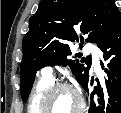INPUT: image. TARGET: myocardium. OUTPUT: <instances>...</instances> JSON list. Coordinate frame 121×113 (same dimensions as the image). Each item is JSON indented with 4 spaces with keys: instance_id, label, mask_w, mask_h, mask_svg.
<instances>
[{
    "instance_id": "myocardium-1",
    "label": "myocardium",
    "mask_w": 121,
    "mask_h": 113,
    "mask_svg": "<svg viewBox=\"0 0 121 113\" xmlns=\"http://www.w3.org/2000/svg\"><path fill=\"white\" fill-rule=\"evenodd\" d=\"M62 90H66V91L71 92L77 100V104H76L75 108L71 110L72 111L71 113H77V111L84 109L85 103H84V98H83L82 94L74 85L67 83V82L51 83L44 90L42 100H41V108L42 109H50L49 107H45V106L50 104V101L56 92L62 91Z\"/></svg>"
}]
</instances>
